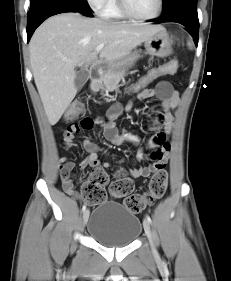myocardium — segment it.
<instances>
[{
  "label": "myocardium",
  "instance_id": "obj_1",
  "mask_svg": "<svg viewBox=\"0 0 231 281\" xmlns=\"http://www.w3.org/2000/svg\"><path fill=\"white\" fill-rule=\"evenodd\" d=\"M117 2H118V6H119L121 13L125 17L132 19L134 21H138V22H149V21H153V20L157 19L161 15L162 10H163V5H164L163 0H158V7L153 15H151L149 17H140V16L134 14L130 10V8L127 5L126 0H117Z\"/></svg>",
  "mask_w": 231,
  "mask_h": 281
}]
</instances>
